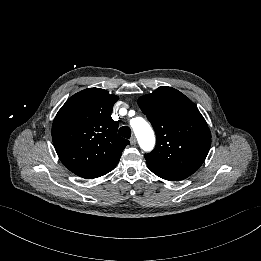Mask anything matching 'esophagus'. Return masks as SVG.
I'll use <instances>...</instances> for the list:
<instances>
[{
	"instance_id": "34e87169",
	"label": "esophagus",
	"mask_w": 261,
	"mask_h": 261,
	"mask_svg": "<svg viewBox=\"0 0 261 261\" xmlns=\"http://www.w3.org/2000/svg\"><path fill=\"white\" fill-rule=\"evenodd\" d=\"M130 143H131L132 145H136V143H137V139H136L135 136H132V137H131V139H130Z\"/></svg>"
}]
</instances>
